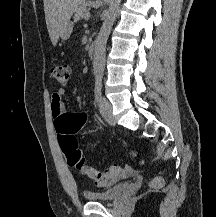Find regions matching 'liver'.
Segmentation results:
<instances>
[{"label":"liver","instance_id":"1","mask_svg":"<svg viewBox=\"0 0 216 217\" xmlns=\"http://www.w3.org/2000/svg\"><path fill=\"white\" fill-rule=\"evenodd\" d=\"M43 2L48 33L53 46H56L60 33L85 0H43Z\"/></svg>","mask_w":216,"mask_h":217}]
</instances>
